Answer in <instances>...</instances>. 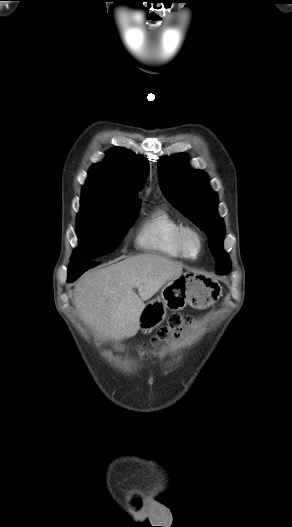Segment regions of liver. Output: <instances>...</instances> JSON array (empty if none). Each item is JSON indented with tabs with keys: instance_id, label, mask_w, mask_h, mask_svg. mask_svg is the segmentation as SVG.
<instances>
[{
	"instance_id": "liver-1",
	"label": "liver",
	"mask_w": 292,
	"mask_h": 527,
	"mask_svg": "<svg viewBox=\"0 0 292 527\" xmlns=\"http://www.w3.org/2000/svg\"><path fill=\"white\" fill-rule=\"evenodd\" d=\"M182 270L181 263L163 256L135 255L84 275L75 285L74 304L80 318L103 337L130 338L140 329L144 302Z\"/></svg>"
}]
</instances>
